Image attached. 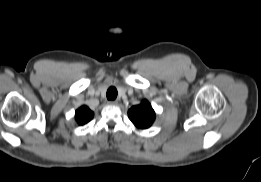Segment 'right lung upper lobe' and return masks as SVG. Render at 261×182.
Returning a JSON list of instances; mask_svg holds the SVG:
<instances>
[{
  "label": "right lung upper lobe",
  "instance_id": "right-lung-upper-lobe-1",
  "mask_svg": "<svg viewBox=\"0 0 261 182\" xmlns=\"http://www.w3.org/2000/svg\"><path fill=\"white\" fill-rule=\"evenodd\" d=\"M93 112L87 107L82 106L75 112V118L78 124L84 125L93 118Z\"/></svg>",
  "mask_w": 261,
  "mask_h": 182
}]
</instances>
